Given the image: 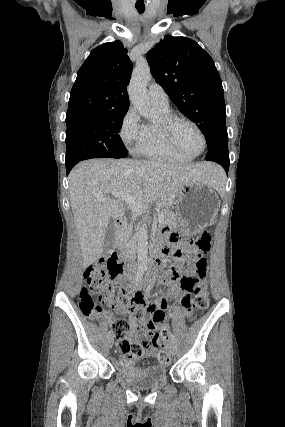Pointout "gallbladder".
Wrapping results in <instances>:
<instances>
[{
    "label": "gallbladder",
    "instance_id": "obj_1",
    "mask_svg": "<svg viewBox=\"0 0 285 427\" xmlns=\"http://www.w3.org/2000/svg\"><path fill=\"white\" fill-rule=\"evenodd\" d=\"M115 246V227L112 218L106 229L104 241H103V252L109 253Z\"/></svg>",
    "mask_w": 285,
    "mask_h": 427
}]
</instances>
